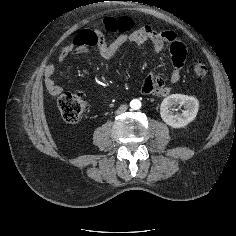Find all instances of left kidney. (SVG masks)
Wrapping results in <instances>:
<instances>
[{
    "label": "left kidney",
    "instance_id": "left-kidney-1",
    "mask_svg": "<svg viewBox=\"0 0 236 236\" xmlns=\"http://www.w3.org/2000/svg\"><path fill=\"white\" fill-rule=\"evenodd\" d=\"M174 105L183 106L182 113H172L169 108ZM199 102L193 96L172 94L166 97L160 106L162 120L172 128H181L192 122L198 113Z\"/></svg>",
    "mask_w": 236,
    "mask_h": 236
}]
</instances>
